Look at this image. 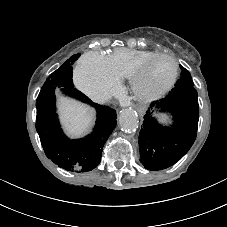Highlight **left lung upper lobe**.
Instances as JSON below:
<instances>
[{
  "label": "left lung upper lobe",
  "mask_w": 227,
  "mask_h": 227,
  "mask_svg": "<svg viewBox=\"0 0 227 227\" xmlns=\"http://www.w3.org/2000/svg\"><path fill=\"white\" fill-rule=\"evenodd\" d=\"M181 67V74H180V78L178 79V81L175 83V87L177 86H194L192 77L189 73V71L184 68L183 66Z\"/></svg>",
  "instance_id": "left-lung-upper-lobe-1"
}]
</instances>
